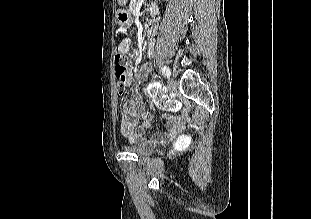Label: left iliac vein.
<instances>
[{
    "instance_id": "4c4485c4",
    "label": "left iliac vein",
    "mask_w": 311,
    "mask_h": 219,
    "mask_svg": "<svg viewBox=\"0 0 311 219\" xmlns=\"http://www.w3.org/2000/svg\"><path fill=\"white\" fill-rule=\"evenodd\" d=\"M168 91L173 92L177 87V82L173 77H170L167 82Z\"/></svg>"
}]
</instances>
